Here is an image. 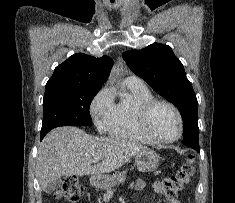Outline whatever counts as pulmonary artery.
Wrapping results in <instances>:
<instances>
[{
	"label": "pulmonary artery",
	"instance_id": "e3ab8cb5",
	"mask_svg": "<svg viewBox=\"0 0 235 203\" xmlns=\"http://www.w3.org/2000/svg\"><path fill=\"white\" fill-rule=\"evenodd\" d=\"M125 82L134 85H144L143 81L137 76H128L125 78Z\"/></svg>",
	"mask_w": 235,
	"mask_h": 203
}]
</instances>
